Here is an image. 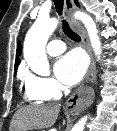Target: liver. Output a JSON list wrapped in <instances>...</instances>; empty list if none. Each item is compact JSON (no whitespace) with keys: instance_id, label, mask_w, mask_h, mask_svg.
I'll use <instances>...</instances> for the list:
<instances>
[{"instance_id":"liver-1","label":"liver","mask_w":117,"mask_h":131,"mask_svg":"<svg viewBox=\"0 0 117 131\" xmlns=\"http://www.w3.org/2000/svg\"><path fill=\"white\" fill-rule=\"evenodd\" d=\"M59 105H36L18 110L10 124V131H28L51 127L59 114Z\"/></svg>"}]
</instances>
